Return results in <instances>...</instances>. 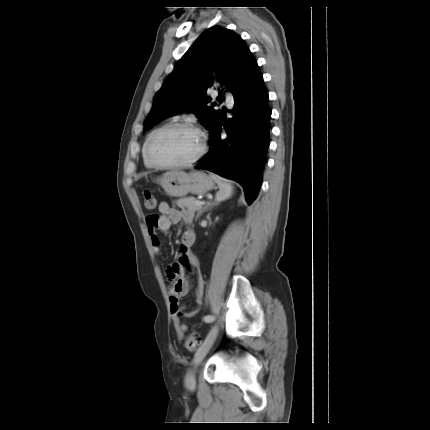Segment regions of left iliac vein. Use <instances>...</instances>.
I'll return each instance as SVG.
<instances>
[{
  "label": "left iliac vein",
  "mask_w": 430,
  "mask_h": 430,
  "mask_svg": "<svg viewBox=\"0 0 430 430\" xmlns=\"http://www.w3.org/2000/svg\"><path fill=\"white\" fill-rule=\"evenodd\" d=\"M216 330H211L209 334L207 335L206 339L204 340L203 344L200 346V348L197 350L194 359H193V369L188 371L185 377V384L188 388L193 389L196 385V378H195V371L207 353L209 352L210 348L212 347L215 339H216Z\"/></svg>",
  "instance_id": "4c4485c4"
}]
</instances>
